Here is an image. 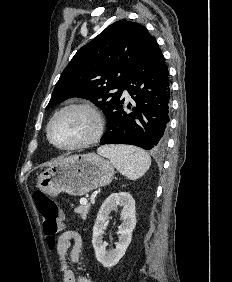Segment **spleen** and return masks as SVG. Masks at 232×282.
<instances>
[{
    "label": "spleen",
    "mask_w": 232,
    "mask_h": 282,
    "mask_svg": "<svg viewBox=\"0 0 232 282\" xmlns=\"http://www.w3.org/2000/svg\"><path fill=\"white\" fill-rule=\"evenodd\" d=\"M98 153L109 158L119 172L132 180L144 175L151 165L150 156L134 146H104Z\"/></svg>",
    "instance_id": "3e777b00"
}]
</instances>
